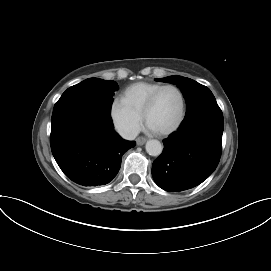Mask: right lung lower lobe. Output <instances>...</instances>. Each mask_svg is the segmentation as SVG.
Instances as JSON below:
<instances>
[{
    "instance_id": "right-lung-lower-lobe-1",
    "label": "right lung lower lobe",
    "mask_w": 271,
    "mask_h": 271,
    "mask_svg": "<svg viewBox=\"0 0 271 271\" xmlns=\"http://www.w3.org/2000/svg\"><path fill=\"white\" fill-rule=\"evenodd\" d=\"M50 144L60 169L83 186L109 183L123 154L135 146L114 131L110 109L103 105L75 108L52 115Z\"/></svg>"
}]
</instances>
